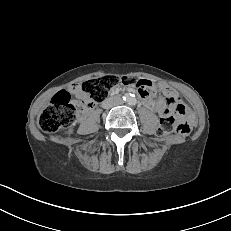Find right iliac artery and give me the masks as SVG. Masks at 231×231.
<instances>
[{"instance_id": "obj_1", "label": "right iliac artery", "mask_w": 231, "mask_h": 231, "mask_svg": "<svg viewBox=\"0 0 231 231\" xmlns=\"http://www.w3.org/2000/svg\"><path fill=\"white\" fill-rule=\"evenodd\" d=\"M123 99L128 102L130 101V96L126 94L125 96H123Z\"/></svg>"}]
</instances>
